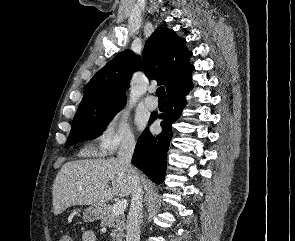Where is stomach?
I'll use <instances>...</instances> for the list:
<instances>
[{
    "label": "stomach",
    "mask_w": 295,
    "mask_h": 241,
    "mask_svg": "<svg viewBox=\"0 0 295 241\" xmlns=\"http://www.w3.org/2000/svg\"><path fill=\"white\" fill-rule=\"evenodd\" d=\"M105 211V206L101 204H92L87 207L83 212V219L86 222H93L102 218Z\"/></svg>",
    "instance_id": "obj_1"
}]
</instances>
